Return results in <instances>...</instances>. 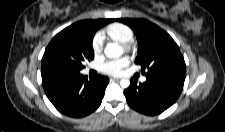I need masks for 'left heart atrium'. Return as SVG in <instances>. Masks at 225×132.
I'll list each match as a JSON object with an SVG mask.
<instances>
[{
  "mask_svg": "<svg viewBox=\"0 0 225 132\" xmlns=\"http://www.w3.org/2000/svg\"><path fill=\"white\" fill-rule=\"evenodd\" d=\"M129 63L127 57H121L119 59L107 60L101 64L100 70L108 75H118L122 69Z\"/></svg>",
  "mask_w": 225,
  "mask_h": 132,
  "instance_id": "obj_1",
  "label": "left heart atrium"
}]
</instances>
